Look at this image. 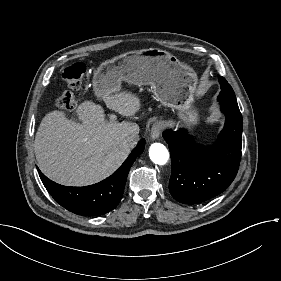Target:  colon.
Segmentation results:
<instances>
[{
  "mask_svg": "<svg viewBox=\"0 0 281 281\" xmlns=\"http://www.w3.org/2000/svg\"><path fill=\"white\" fill-rule=\"evenodd\" d=\"M87 66L84 62H76L66 67L63 71L62 78L64 82L71 87H77L86 77ZM58 108L62 111L73 110L77 104L76 97L70 91H65L60 94L56 100Z\"/></svg>",
  "mask_w": 281,
  "mask_h": 281,
  "instance_id": "obj_1",
  "label": "colon"
}]
</instances>
